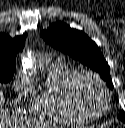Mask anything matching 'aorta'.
Instances as JSON below:
<instances>
[{"label": "aorta", "instance_id": "762f6f07", "mask_svg": "<svg viewBox=\"0 0 125 128\" xmlns=\"http://www.w3.org/2000/svg\"><path fill=\"white\" fill-rule=\"evenodd\" d=\"M23 59H24V58H23ZM25 59H26L27 61H29V58L25 57Z\"/></svg>", "mask_w": 125, "mask_h": 128}]
</instances>
